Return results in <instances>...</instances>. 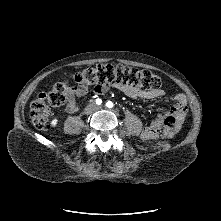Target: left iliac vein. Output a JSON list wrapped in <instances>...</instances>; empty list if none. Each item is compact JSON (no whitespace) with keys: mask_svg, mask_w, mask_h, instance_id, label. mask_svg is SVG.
Masks as SVG:
<instances>
[{"mask_svg":"<svg viewBox=\"0 0 221 221\" xmlns=\"http://www.w3.org/2000/svg\"><path fill=\"white\" fill-rule=\"evenodd\" d=\"M99 109H102V106H98V107H97V110H99Z\"/></svg>","mask_w":221,"mask_h":221,"instance_id":"obj_1","label":"left iliac vein"}]
</instances>
